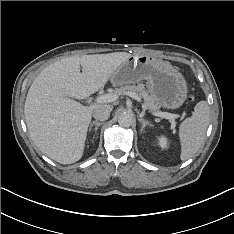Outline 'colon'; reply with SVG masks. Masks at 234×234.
I'll use <instances>...</instances> for the list:
<instances>
[{"instance_id": "5ec220e1", "label": "colon", "mask_w": 234, "mask_h": 234, "mask_svg": "<svg viewBox=\"0 0 234 234\" xmlns=\"http://www.w3.org/2000/svg\"><path fill=\"white\" fill-rule=\"evenodd\" d=\"M192 100H193V96H189L188 101H192Z\"/></svg>"}]
</instances>
